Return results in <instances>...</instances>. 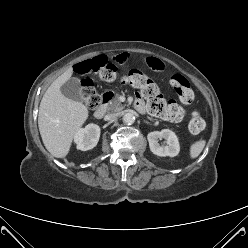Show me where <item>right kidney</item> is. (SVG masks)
<instances>
[{
  "instance_id": "1",
  "label": "right kidney",
  "mask_w": 248,
  "mask_h": 248,
  "mask_svg": "<svg viewBox=\"0 0 248 248\" xmlns=\"http://www.w3.org/2000/svg\"><path fill=\"white\" fill-rule=\"evenodd\" d=\"M100 132V127L96 124H88L85 128L80 129L74 136L77 149L87 151L94 148L99 141Z\"/></svg>"
}]
</instances>
